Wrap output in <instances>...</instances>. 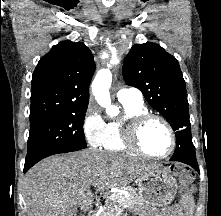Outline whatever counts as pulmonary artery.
I'll list each match as a JSON object with an SVG mask.
<instances>
[{"label": "pulmonary artery", "instance_id": "obj_1", "mask_svg": "<svg viewBox=\"0 0 221 216\" xmlns=\"http://www.w3.org/2000/svg\"><path fill=\"white\" fill-rule=\"evenodd\" d=\"M117 98L120 102H140L142 101V93L136 88L124 87L118 90Z\"/></svg>", "mask_w": 221, "mask_h": 216}]
</instances>
